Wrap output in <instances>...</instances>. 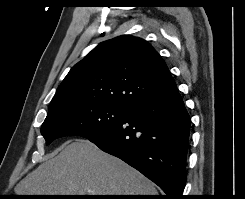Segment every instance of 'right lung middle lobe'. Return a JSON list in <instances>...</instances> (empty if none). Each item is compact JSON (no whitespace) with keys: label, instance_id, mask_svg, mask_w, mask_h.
<instances>
[{"label":"right lung middle lobe","instance_id":"1","mask_svg":"<svg viewBox=\"0 0 245 199\" xmlns=\"http://www.w3.org/2000/svg\"><path fill=\"white\" fill-rule=\"evenodd\" d=\"M128 109L109 104L84 103L59 109L47 115L41 134L50 144L64 136L91 137L119 122Z\"/></svg>","mask_w":245,"mask_h":199}]
</instances>
